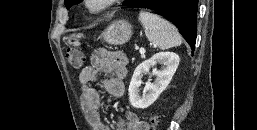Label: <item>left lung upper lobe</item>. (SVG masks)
I'll list each match as a JSON object with an SVG mask.
<instances>
[{"mask_svg": "<svg viewBox=\"0 0 257 130\" xmlns=\"http://www.w3.org/2000/svg\"><path fill=\"white\" fill-rule=\"evenodd\" d=\"M139 0H126L124 5H135ZM79 2V0H65V6L69 9L72 5Z\"/></svg>", "mask_w": 257, "mask_h": 130, "instance_id": "left-lung-upper-lobe-1", "label": "left lung upper lobe"}]
</instances>
